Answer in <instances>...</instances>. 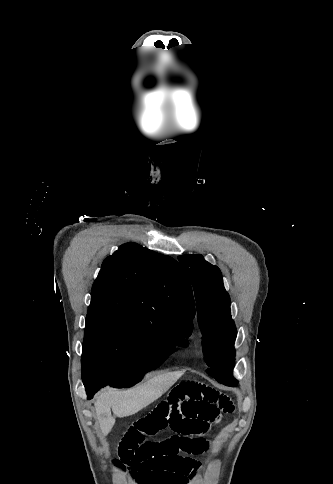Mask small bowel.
<instances>
[{"label": "small bowel", "instance_id": "1", "mask_svg": "<svg viewBox=\"0 0 333 484\" xmlns=\"http://www.w3.org/2000/svg\"><path fill=\"white\" fill-rule=\"evenodd\" d=\"M233 410L227 395L204 383L183 381L128 427L115 462L126 466L139 484H188L200 471L193 456L209 447L204 435ZM164 430L172 435L160 442L145 441Z\"/></svg>", "mask_w": 333, "mask_h": 484}]
</instances>
